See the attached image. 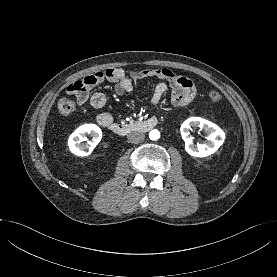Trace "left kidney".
I'll use <instances>...</instances> for the list:
<instances>
[{"instance_id":"5707ae66","label":"left kidney","mask_w":277,"mask_h":277,"mask_svg":"<svg viewBox=\"0 0 277 277\" xmlns=\"http://www.w3.org/2000/svg\"><path fill=\"white\" fill-rule=\"evenodd\" d=\"M200 128L207 134V141L195 145L189 137V130ZM181 135L185 141L186 152L193 157H207L218 150L225 140V133L216 124L201 117H191L183 122L180 128Z\"/></svg>"}]
</instances>
